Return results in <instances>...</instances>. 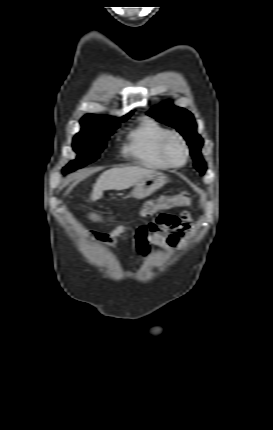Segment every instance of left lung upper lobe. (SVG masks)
Here are the masks:
<instances>
[{
	"instance_id": "left-lung-upper-lobe-1",
	"label": "left lung upper lobe",
	"mask_w": 273,
	"mask_h": 430,
	"mask_svg": "<svg viewBox=\"0 0 273 430\" xmlns=\"http://www.w3.org/2000/svg\"><path fill=\"white\" fill-rule=\"evenodd\" d=\"M150 116L158 121L174 127L186 139L190 146L191 155L195 161L194 167L204 174L206 171V163L201 157L202 139L196 132V123L193 115L184 108L176 107L171 102L163 103L162 105L153 108L148 112Z\"/></svg>"
}]
</instances>
